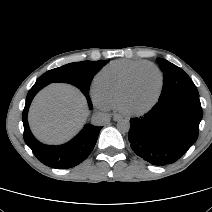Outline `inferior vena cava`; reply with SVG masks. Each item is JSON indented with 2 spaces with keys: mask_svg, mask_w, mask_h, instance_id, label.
Returning <instances> with one entry per match:
<instances>
[{
  "mask_svg": "<svg viewBox=\"0 0 212 212\" xmlns=\"http://www.w3.org/2000/svg\"><path fill=\"white\" fill-rule=\"evenodd\" d=\"M91 120L94 125L103 126L110 120V117L107 113L96 112L92 115Z\"/></svg>",
  "mask_w": 212,
  "mask_h": 212,
  "instance_id": "602c4592",
  "label": "inferior vena cava"
}]
</instances>
